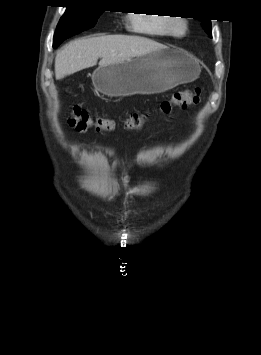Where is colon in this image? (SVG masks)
Returning <instances> with one entry per match:
<instances>
[{
  "label": "colon",
  "instance_id": "5ec220e1",
  "mask_svg": "<svg viewBox=\"0 0 261 355\" xmlns=\"http://www.w3.org/2000/svg\"><path fill=\"white\" fill-rule=\"evenodd\" d=\"M200 99V90H184L173 93V95L159 104V110L165 115H170L175 109H184L198 104ZM146 120V114L143 112L131 113L123 122L126 129H139ZM70 126L76 130L84 132L94 129L98 132H110L116 128V122L108 118H94L85 109L78 105L71 108L69 118Z\"/></svg>",
  "mask_w": 261,
  "mask_h": 355
}]
</instances>
